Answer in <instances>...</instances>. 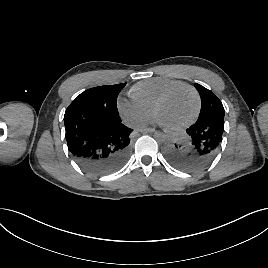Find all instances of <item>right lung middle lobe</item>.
I'll list each match as a JSON object with an SVG mask.
<instances>
[{"instance_id":"1","label":"right lung middle lobe","mask_w":268,"mask_h":268,"mask_svg":"<svg viewBox=\"0 0 268 268\" xmlns=\"http://www.w3.org/2000/svg\"><path fill=\"white\" fill-rule=\"evenodd\" d=\"M126 83L98 86L78 95L66 109L65 115L81 108L95 109L108 114H119L117 97Z\"/></svg>"}]
</instances>
